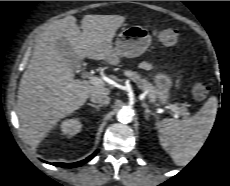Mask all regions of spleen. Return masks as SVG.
<instances>
[{
	"label": "spleen",
	"mask_w": 230,
	"mask_h": 186,
	"mask_svg": "<svg viewBox=\"0 0 230 186\" xmlns=\"http://www.w3.org/2000/svg\"><path fill=\"white\" fill-rule=\"evenodd\" d=\"M217 108L218 100L211 96L194 116L157 123L160 144L175 164L185 166L197 155L211 132Z\"/></svg>",
	"instance_id": "3e777b00"
}]
</instances>
